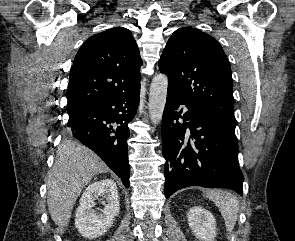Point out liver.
<instances>
[{
  "instance_id": "obj_1",
  "label": "liver",
  "mask_w": 295,
  "mask_h": 241,
  "mask_svg": "<svg viewBox=\"0 0 295 241\" xmlns=\"http://www.w3.org/2000/svg\"><path fill=\"white\" fill-rule=\"evenodd\" d=\"M108 171L106 164L89 148L71 140L62 142L48 175L47 205L52 220L67 227L73 206L81 191L98 173Z\"/></svg>"
}]
</instances>
